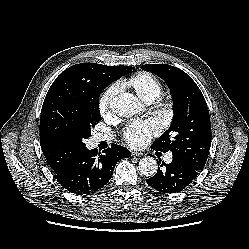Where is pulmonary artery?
Instances as JSON below:
<instances>
[{
	"mask_svg": "<svg viewBox=\"0 0 249 249\" xmlns=\"http://www.w3.org/2000/svg\"><path fill=\"white\" fill-rule=\"evenodd\" d=\"M153 100H151V101H149V102H152ZM107 139V137L106 136H102V135H99V136H97L96 137V141H102V140H106ZM172 154L171 153H169V154H167L166 155V157H165V161L167 162V163H171V161H172Z\"/></svg>",
	"mask_w": 249,
	"mask_h": 249,
	"instance_id": "e3ab8cb5",
	"label": "pulmonary artery"
}]
</instances>
